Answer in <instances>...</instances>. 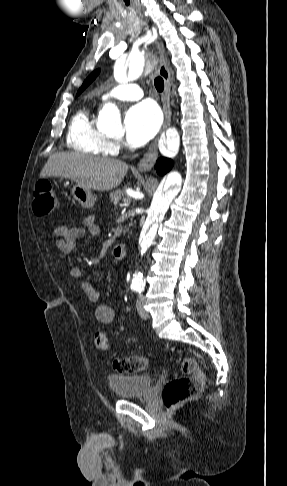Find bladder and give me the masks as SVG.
Here are the masks:
<instances>
[{
	"mask_svg": "<svg viewBox=\"0 0 287 486\" xmlns=\"http://www.w3.org/2000/svg\"><path fill=\"white\" fill-rule=\"evenodd\" d=\"M107 381L115 396L129 399L147 395L152 389L154 378L148 374L112 375Z\"/></svg>",
	"mask_w": 287,
	"mask_h": 486,
	"instance_id": "obj_1",
	"label": "bladder"
}]
</instances>
